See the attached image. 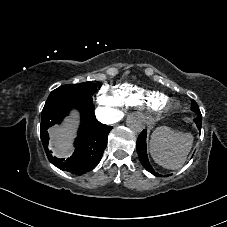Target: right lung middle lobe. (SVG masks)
Masks as SVG:
<instances>
[{"label": "right lung middle lobe", "mask_w": 227, "mask_h": 227, "mask_svg": "<svg viewBox=\"0 0 227 227\" xmlns=\"http://www.w3.org/2000/svg\"><path fill=\"white\" fill-rule=\"evenodd\" d=\"M96 90L97 87L91 82L60 86L50 93L42 114L50 107L65 101L92 103V95Z\"/></svg>", "instance_id": "1"}]
</instances>
